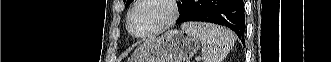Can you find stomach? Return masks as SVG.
<instances>
[{
    "mask_svg": "<svg viewBox=\"0 0 331 62\" xmlns=\"http://www.w3.org/2000/svg\"><path fill=\"white\" fill-rule=\"evenodd\" d=\"M198 48L199 40L194 35L171 30L141 44L134 52L133 62H187Z\"/></svg>",
    "mask_w": 331,
    "mask_h": 62,
    "instance_id": "obj_1",
    "label": "stomach"
}]
</instances>
